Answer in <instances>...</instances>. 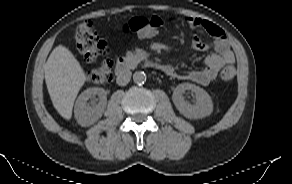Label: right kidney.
<instances>
[{
	"instance_id": "right-kidney-1",
	"label": "right kidney",
	"mask_w": 292,
	"mask_h": 184,
	"mask_svg": "<svg viewBox=\"0 0 292 184\" xmlns=\"http://www.w3.org/2000/svg\"><path fill=\"white\" fill-rule=\"evenodd\" d=\"M98 95L100 101L95 104L94 101L91 104L87 101L93 96ZM106 108V94L103 88H88L82 92L76 100L74 107L75 118L78 124L83 127L94 124L99 118H101Z\"/></svg>"
}]
</instances>
